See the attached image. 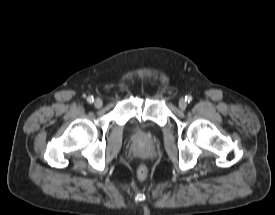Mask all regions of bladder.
Wrapping results in <instances>:
<instances>
[{"mask_svg":"<svg viewBox=\"0 0 275 215\" xmlns=\"http://www.w3.org/2000/svg\"><path fill=\"white\" fill-rule=\"evenodd\" d=\"M133 130L135 133H140L141 132V124L138 121H135L133 123Z\"/></svg>","mask_w":275,"mask_h":215,"instance_id":"bladder-1","label":"bladder"}]
</instances>
